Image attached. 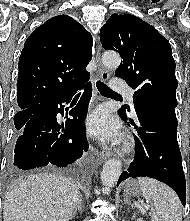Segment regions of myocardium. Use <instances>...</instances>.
<instances>
[{"label":"myocardium","mask_w":190,"mask_h":221,"mask_svg":"<svg viewBox=\"0 0 190 221\" xmlns=\"http://www.w3.org/2000/svg\"><path fill=\"white\" fill-rule=\"evenodd\" d=\"M132 150V144L129 141H126L121 149L122 153H129Z\"/></svg>","instance_id":"obj_1"}]
</instances>
